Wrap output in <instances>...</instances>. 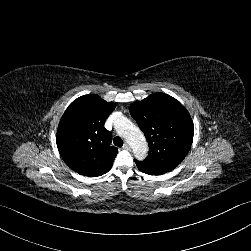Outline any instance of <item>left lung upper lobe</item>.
<instances>
[{
  "mask_svg": "<svg viewBox=\"0 0 251 251\" xmlns=\"http://www.w3.org/2000/svg\"><path fill=\"white\" fill-rule=\"evenodd\" d=\"M131 116L149 144L146 161L177 167L189 152L193 122L185 107L164 93H153L130 106Z\"/></svg>",
  "mask_w": 251,
  "mask_h": 251,
  "instance_id": "left-lung-upper-lobe-1",
  "label": "left lung upper lobe"
}]
</instances>
